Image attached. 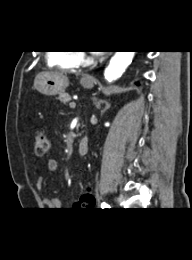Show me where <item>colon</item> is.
<instances>
[{"label":"colon","instance_id":"1","mask_svg":"<svg viewBox=\"0 0 192 260\" xmlns=\"http://www.w3.org/2000/svg\"><path fill=\"white\" fill-rule=\"evenodd\" d=\"M50 148V141L44 131L38 129L34 132V150L36 155L43 156ZM84 196L91 195L89 192H85Z\"/></svg>","mask_w":192,"mask_h":260}]
</instances>
